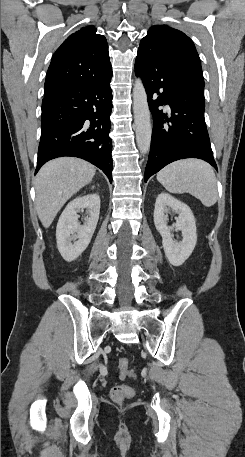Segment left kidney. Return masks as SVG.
<instances>
[{
  "mask_svg": "<svg viewBox=\"0 0 245 457\" xmlns=\"http://www.w3.org/2000/svg\"><path fill=\"white\" fill-rule=\"evenodd\" d=\"M177 212L176 224L167 226V212ZM154 224L162 237L164 253L173 267H180L190 257L197 241L194 214L188 204L168 192H160L154 208ZM171 231H181L182 241H173Z\"/></svg>",
  "mask_w": 245,
  "mask_h": 457,
  "instance_id": "obj_1",
  "label": "left kidney"
}]
</instances>
